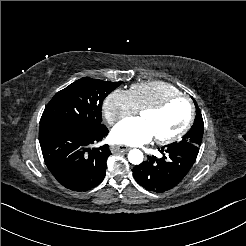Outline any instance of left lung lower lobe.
Returning <instances> with one entry per match:
<instances>
[{
	"label": "left lung lower lobe",
	"instance_id": "1",
	"mask_svg": "<svg viewBox=\"0 0 246 246\" xmlns=\"http://www.w3.org/2000/svg\"><path fill=\"white\" fill-rule=\"evenodd\" d=\"M159 151L163 157L148 156L135 166V180L149 191L164 192L176 186L189 172L199 152L191 143H171Z\"/></svg>",
	"mask_w": 246,
	"mask_h": 246
}]
</instances>
